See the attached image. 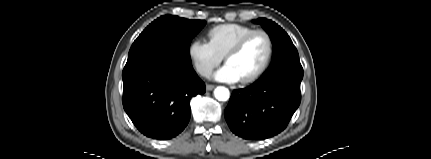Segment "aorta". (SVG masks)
<instances>
[{
  "label": "aorta",
  "mask_w": 431,
  "mask_h": 159,
  "mask_svg": "<svg viewBox=\"0 0 431 159\" xmlns=\"http://www.w3.org/2000/svg\"><path fill=\"white\" fill-rule=\"evenodd\" d=\"M214 96L219 101H227L230 97V93L227 88L219 86L214 90Z\"/></svg>",
  "instance_id": "obj_1"
}]
</instances>
